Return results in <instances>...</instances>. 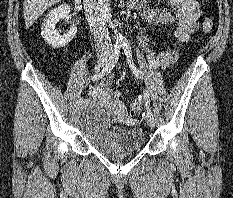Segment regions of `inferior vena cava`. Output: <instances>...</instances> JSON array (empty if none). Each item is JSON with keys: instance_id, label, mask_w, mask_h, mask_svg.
<instances>
[{"instance_id": "inferior-vena-cava-1", "label": "inferior vena cava", "mask_w": 233, "mask_h": 198, "mask_svg": "<svg viewBox=\"0 0 233 198\" xmlns=\"http://www.w3.org/2000/svg\"><path fill=\"white\" fill-rule=\"evenodd\" d=\"M83 2L86 18L93 32L97 51H110L112 43L105 25L101 0H83Z\"/></svg>"}]
</instances>
